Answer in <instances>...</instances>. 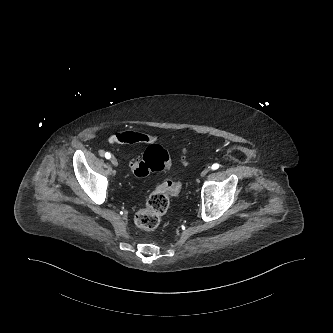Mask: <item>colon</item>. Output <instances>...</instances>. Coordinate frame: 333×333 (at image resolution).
Instances as JSON below:
<instances>
[{"label":"colon","instance_id":"colon-1","mask_svg":"<svg viewBox=\"0 0 333 333\" xmlns=\"http://www.w3.org/2000/svg\"><path fill=\"white\" fill-rule=\"evenodd\" d=\"M170 166L167 151L158 144L150 145L141 158L130 162V168L137 177H145L153 171L169 170ZM180 191V182L172 179L163 182L150 194L146 205L135 214V224L144 230L155 229L168 210L170 197L177 196Z\"/></svg>","mask_w":333,"mask_h":333}]
</instances>
